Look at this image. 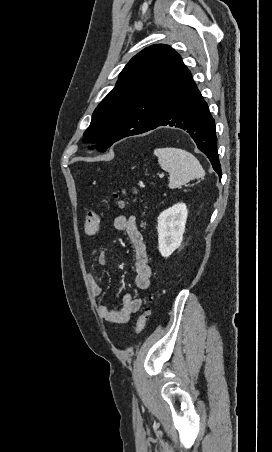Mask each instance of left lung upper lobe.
Wrapping results in <instances>:
<instances>
[{
    "label": "left lung upper lobe",
    "mask_w": 272,
    "mask_h": 452,
    "mask_svg": "<svg viewBox=\"0 0 272 452\" xmlns=\"http://www.w3.org/2000/svg\"><path fill=\"white\" fill-rule=\"evenodd\" d=\"M190 71L168 45L145 48L124 67L115 88L95 109L84 141H101L105 151L114 142L149 128Z\"/></svg>",
    "instance_id": "obj_1"
}]
</instances>
